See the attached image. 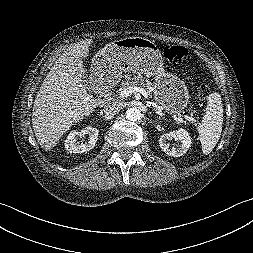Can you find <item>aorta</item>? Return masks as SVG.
Masks as SVG:
<instances>
[{
    "instance_id": "obj_1",
    "label": "aorta",
    "mask_w": 253,
    "mask_h": 253,
    "mask_svg": "<svg viewBox=\"0 0 253 253\" xmlns=\"http://www.w3.org/2000/svg\"><path fill=\"white\" fill-rule=\"evenodd\" d=\"M141 117V112L137 108H129L126 111V118L130 121H136L140 119Z\"/></svg>"
}]
</instances>
